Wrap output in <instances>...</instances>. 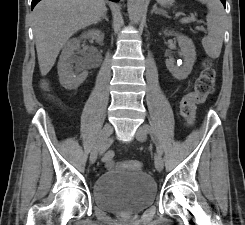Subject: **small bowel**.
<instances>
[{
	"instance_id": "obj_1",
	"label": "small bowel",
	"mask_w": 245,
	"mask_h": 225,
	"mask_svg": "<svg viewBox=\"0 0 245 225\" xmlns=\"http://www.w3.org/2000/svg\"><path fill=\"white\" fill-rule=\"evenodd\" d=\"M40 84H41L42 86H49V85H50V81H49L48 79H42V80L40 81Z\"/></svg>"
}]
</instances>
